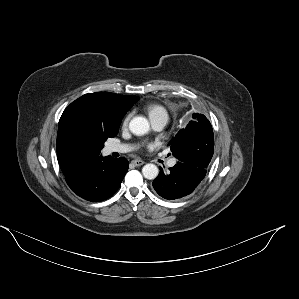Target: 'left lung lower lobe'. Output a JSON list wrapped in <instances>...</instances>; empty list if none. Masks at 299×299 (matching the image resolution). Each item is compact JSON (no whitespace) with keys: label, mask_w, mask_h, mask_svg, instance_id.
Returning <instances> with one entry per match:
<instances>
[{"label":"left lung lower lobe","mask_w":299,"mask_h":299,"mask_svg":"<svg viewBox=\"0 0 299 299\" xmlns=\"http://www.w3.org/2000/svg\"><path fill=\"white\" fill-rule=\"evenodd\" d=\"M153 181L155 191L167 200H175L191 194L206 175V170L192 164L179 162Z\"/></svg>","instance_id":"0a47b994"}]
</instances>
